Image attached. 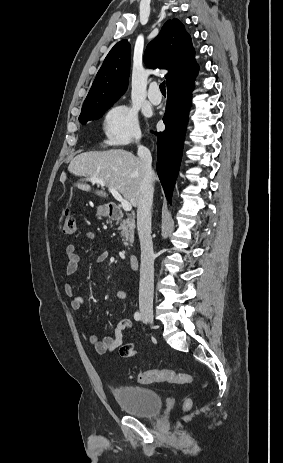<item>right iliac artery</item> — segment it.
<instances>
[{
  "mask_svg": "<svg viewBox=\"0 0 283 463\" xmlns=\"http://www.w3.org/2000/svg\"><path fill=\"white\" fill-rule=\"evenodd\" d=\"M134 318H135L136 321L141 320V314L139 312H135Z\"/></svg>",
  "mask_w": 283,
  "mask_h": 463,
  "instance_id": "obj_1",
  "label": "right iliac artery"
}]
</instances>
